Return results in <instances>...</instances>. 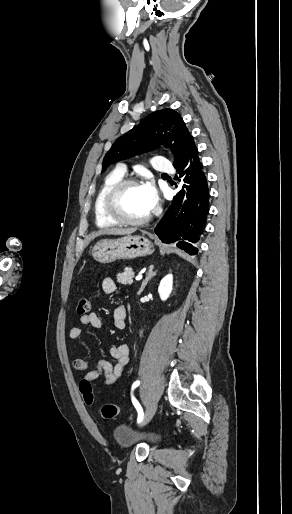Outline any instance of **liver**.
I'll return each instance as SVG.
<instances>
[{
    "mask_svg": "<svg viewBox=\"0 0 292 514\" xmlns=\"http://www.w3.org/2000/svg\"><path fill=\"white\" fill-rule=\"evenodd\" d=\"M133 232H136L135 228H105V230H99V232H95V234H92L91 238H97V236H104V234H113V236H130V234H133Z\"/></svg>",
    "mask_w": 292,
    "mask_h": 514,
    "instance_id": "1",
    "label": "liver"
}]
</instances>
